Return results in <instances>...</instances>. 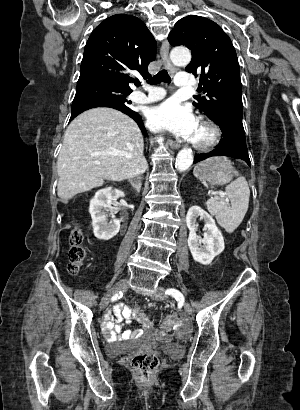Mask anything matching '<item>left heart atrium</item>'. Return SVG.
<instances>
[{
  "label": "left heart atrium",
  "instance_id": "left-heart-atrium-1",
  "mask_svg": "<svg viewBox=\"0 0 300 410\" xmlns=\"http://www.w3.org/2000/svg\"><path fill=\"white\" fill-rule=\"evenodd\" d=\"M148 125L153 130L167 131L187 141H193L199 123L189 106L169 99L150 110Z\"/></svg>",
  "mask_w": 300,
  "mask_h": 410
}]
</instances>
